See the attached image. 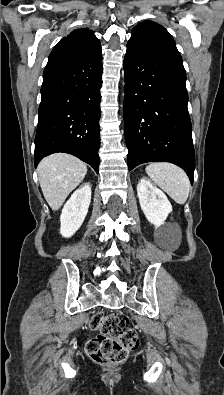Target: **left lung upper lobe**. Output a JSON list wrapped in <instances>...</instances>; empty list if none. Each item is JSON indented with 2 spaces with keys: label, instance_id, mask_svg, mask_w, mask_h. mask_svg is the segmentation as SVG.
Wrapping results in <instances>:
<instances>
[{
  "label": "left lung upper lobe",
  "instance_id": "1",
  "mask_svg": "<svg viewBox=\"0 0 224 395\" xmlns=\"http://www.w3.org/2000/svg\"><path fill=\"white\" fill-rule=\"evenodd\" d=\"M127 46L183 65L173 37L155 22L144 21L137 24L132 29Z\"/></svg>",
  "mask_w": 224,
  "mask_h": 395
}]
</instances>
